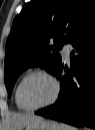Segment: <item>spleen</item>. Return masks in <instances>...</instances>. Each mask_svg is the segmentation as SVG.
<instances>
[{
    "instance_id": "1",
    "label": "spleen",
    "mask_w": 95,
    "mask_h": 130,
    "mask_svg": "<svg viewBox=\"0 0 95 130\" xmlns=\"http://www.w3.org/2000/svg\"><path fill=\"white\" fill-rule=\"evenodd\" d=\"M60 130H75V128L67 124H60Z\"/></svg>"
}]
</instances>
